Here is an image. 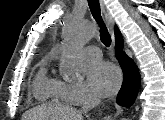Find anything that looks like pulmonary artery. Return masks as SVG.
<instances>
[{
    "mask_svg": "<svg viewBox=\"0 0 165 120\" xmlns=\"http://www.w3.org/2000/svg\"><path fill=\"white\" fill-rule=\"evenodd\" d=\"M86 57L90 60H98L102 57V53L99 47L97 46H87L84 49Z\"/></svg>",
    "mask_w": 165,
    "mask_h": 120,
    "instance_id": "e3ab8cb5",
    "label": "pulmonary artery"
}]
</instances>
